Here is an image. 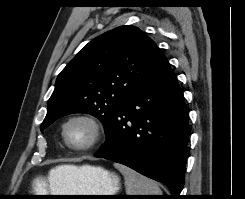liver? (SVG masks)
<instances>
[{
  "label": "liver",
  "instance_id": "1",
  "mask_svg": "<svg viewBox=\"0 0 245 199\" xmlns=\"http://www.w3.org/2000/svg\"><path fill=\"white\" fill-rule=\"evenodd\" d=\"M76 169L77 167L74 165H61L52 169L49 172V177H48L51 192L54 193V190L58 189V187L55 186V184L53 183L55 178L56 179L58 178L60 180L68 179L70 176H72V174H74Z\"/></svg>",
  "mask_w": 245,
  "mask_h": 199
}]
</instances>
